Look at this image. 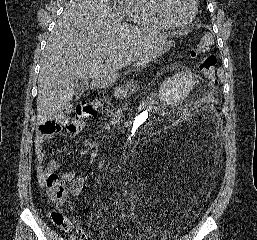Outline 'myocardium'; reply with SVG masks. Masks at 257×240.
<instances>
[{
	"label": "myocardium",
	"instance_id": "myocardium-1",
	"mask_svg": "<svg viewBox=\"0 0 257 240\" xmlns=\"http://www.w3.org/2000/svg\"><path fill=\"white\" fill-rule=\"evenodd\" d=\"M190 1L192 5V12L188 20H186L184 23H174L166 16L163 10V0H153L154 10L157 16L170 28L183 29L188 27L193 22L198 12L197 1L196 0H190Z\"/></svg>",
	"mask_w": 257,
	"mask_h": 240
}]
</instances>
